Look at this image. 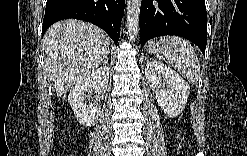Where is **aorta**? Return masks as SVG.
I'll return each instance as SVG.
<instances>
[{"label": "aorta", "instance_id": "762f6f07", "mask_svg": "<svg viewBox=\"0 0 247 156\" xmlns=\"http://www.w3.org/2000/svg\"><path fill=\"white\" fill-rule=\"evenodd\" d=\"M141 0L127 1V35L135 41L138 35Z\"/></svg>", "mask_w": 247, "mask_h": 156}]
</instances>
